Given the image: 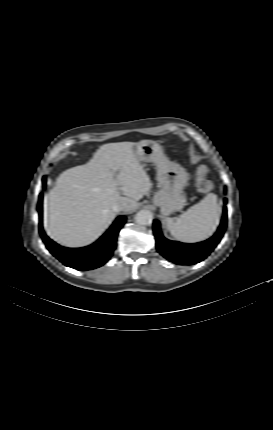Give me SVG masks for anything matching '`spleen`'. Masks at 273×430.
<instances>
[{"instance_id": "1", "label": "spleen", "mask_w": 273, "mask_h": 430, "mask_svg": "<svg viewBox=\"0 0 273 430\" xmlns=\"http://www.w3.org/2000/svg\"><path fill=\"white\" fill-rule=\"evenodd\" d=\"M219 211L217 195L209 193L179 217L166 218V224L175 239L196 243L206 240L215 232L219 223Z\"/></svg>"}]
</instances>
